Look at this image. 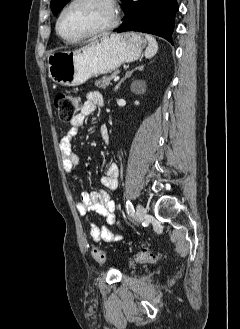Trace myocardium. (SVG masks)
Listing matches in <instances>:
<instances>
[{
    "label": "myocardium",
    "mask_w": 240,
    "mask_h": 329,
    "mask_svg": "<svg viewBox=\"0 0 240 329\" xmlns=\"http://www.w3.org/2000/svg\"><path fill=\"white\" fill-rule=\"evenodd\" d=\"M81 0H71L67 5H65L61 11L59 12V15L57 17L56 20V24H55V29L57 34L66 42H77V41H81L84 39H87L89 37H93V36H97L100 34H104L106 32H109L111 30H113L119 23V15H118V10H117V6L115 3V0H103L110 8L111 11V21L98 29L92 30L88 33H85L83 35L77 36V37H66L62 34L61 30H60V22L62 20L63 15L65 14V12L70 9L73 5H75L76 3L80 2Z\"/></svg>",
    "instance_id": "f54148a6"
}]
</instances>
